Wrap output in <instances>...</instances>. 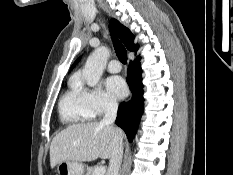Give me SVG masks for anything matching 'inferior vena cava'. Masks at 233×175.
Wrapping results in <instances>:
<instances>
[{"mask_svg": "<svg viewBox=\"0 0 233 175\" xmlns=\"http://www.w3.org/2000/svg\"><path fill=\"white\" fill-rule=\"evenodd\" d=\"M118 104L114 99H108L105 105V115L101 120L102 124L111 125L115 122L117 116ZM114 128V127H113ZM123 156V142L119 137H115L107 175H119V169Z\"/></svg>", "mask_w": 233, "mask_h": 175, "instance_id": "inferior-vena-cava-1", "label": "inferior vena cava"}]
</instances>
